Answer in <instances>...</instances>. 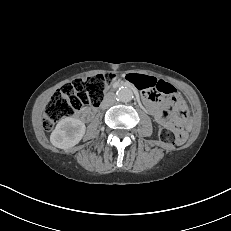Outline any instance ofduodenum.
Masks as SVG:
<instances>
[{
    "instance_id": "1",
    "label": "duodenum",
    "mask_w": 231,
    "mask_h": 231,
    "mask_svg": "<svg viewBox=\"0 0 231 231\" xmlns=\"http://www.w3.org/2000/svg\"><path fill=\"white\" fill-rule=\"evenodd\" d=\"M145 104H147V101H145ZM91 114V112H86V115L89 117V115Z\"/></svg>"
}]
</instances>
